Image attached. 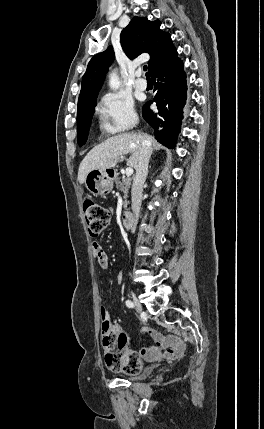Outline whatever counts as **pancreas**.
Here are the masks:
<instances>
[{
  "label": "pancreas",
  "instance_id": "cf45deb5",
  "mask_svg": "<svg viewBox=\"0 0 264 429\" xmlns=\"http://www.w3.org/2000/svg\"><path fill=\"white\" fill-rule=\"evenodd\" d=\"M131 185V178L129 177H121L116 179V188L124 193V208H127L128 205V193Z\"/></svg>",
  "mask_w": 264,
  "mask_h": 429
}]
</instances>
